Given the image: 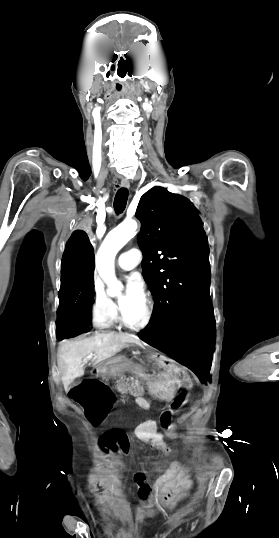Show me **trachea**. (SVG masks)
<instances>
[{
    "label": "trachea",
    "mask_w": 279,
    "mask_h": 538,
    "mask_svg": "<svg viewBox=\"0 0 279 538\" xmlns=\"http://www.w3.org/2000/svg\"><path fill=\"white\" fill-rule=\"evenodd\" d=\"M127 199H128V190L127 188H120L114 199V210L117 215H120V213H123L125 210V207L127 205Z\"/></svg>",
    "instance_id": "obj_1"
}]
</instances>
